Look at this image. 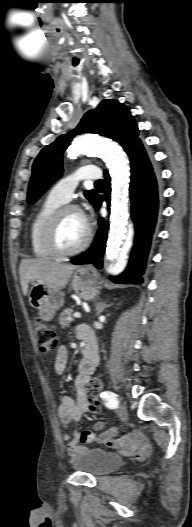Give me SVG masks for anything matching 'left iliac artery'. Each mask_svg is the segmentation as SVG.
Masks as SVG:
<instances>
[{"instance_id":"left-iliac-artery-1","label":"left iliac artery","mask_w":192,"mask_h":527,"mask_svg":"<svg viewBox=\"0 0 192 527\" xmlns=\"http://www.w3.org/2000/svg\"><path fill=\"white\" fill-rule=\"evenodd\" d=\"M102 398L106 402V406L110 409H115L118 407L119 401L117 395L111 391H105L101 394Z\"/></svg>"}]
</instances>
